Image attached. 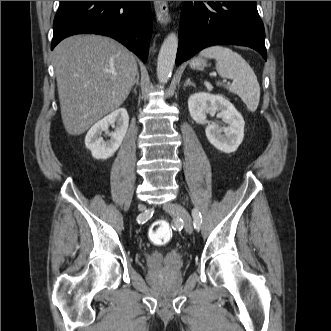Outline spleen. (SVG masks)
I'll list each match as a JSON object with an SVG mask.
<instances>
[{
	"mask_svg": "<svg viewBox=\"0 0 331 331\" xmlns=\"http://www.w3.org/2000/svg\"><path fill=\"white\" fill-rule=\"evenodd\" d=\"M200 56L215 59L219 75L234 81L232 85L220 82L217 85H224L242 99L249 111H256L260 100V86L253 69L240 54L228 47L215 45L202 50Z\"/></svg>",
	"mask_w": 331,
	"mask_h": 331,
	"instance_id": "obj_1",
	"label": "spleen"
}]
</instances>
